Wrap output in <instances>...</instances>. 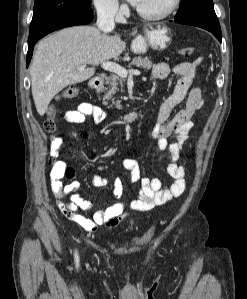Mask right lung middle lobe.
Wrapping results in <instances>:
<instances>
[{
  "instance_id": "right-lung-middle-lobe-1",
  "label": "right lung middle lobe",
  "mask_w": 247,
  "mask_h": 299,
  "mask_svg": "<svg viewBox=\"0 0 247 299\" xmlns=\"http://www.w3.org/2000/svg\"><path fill=\"white\" fill-rule=\"evenodd\" d=\"M91 0H35L29 31L66 12L90 8Z\"/></svg>"
}]
</instances>
